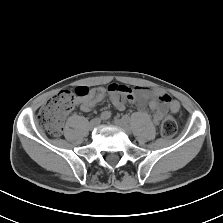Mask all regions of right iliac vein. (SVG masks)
I'll list each match as a JSON object with an SVG mask.
<instances>
[{
  "instance_id": "obj_1",
  "label": "right iliac vein",
  "mask_w": 223,
  "mask_h": 223,
  "mask_svg": "<svg viewBox=\"0 0 223 223\" xmlns=\"http://www.w3.org/2000/svg\"><path fill=\"white\" fill-rule=\"evenodd\" d=\"M99 124H100V119L99 118H95V119L90 121L89 128L92 130L95 127H97Z\"/></svg>"
}]
</instances>
